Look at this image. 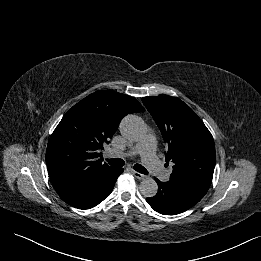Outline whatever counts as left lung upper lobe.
Wrapping results in <instances>:
<instances>
[{
	"label": "left lung upper lobe",
	"mask_w": 261,
	"mask_h": 261,
	"mask_svg": "<svg viewBox=\"0 0 261 261\" xmlns=\"http://www.w3.org/2000/svg\"><path fill=\"white\" fill-rule=\"evenodd\" d=\"M167 144L166 161L173 162L170 179L210 187L216 161L213 137L203 121L176 97H144Z\"/></svg>",
	"instance_id": "5c2ea615"
}]
</instances>
